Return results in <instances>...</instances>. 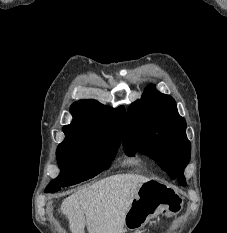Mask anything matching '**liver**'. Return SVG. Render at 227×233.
Returning a JSON list of instances; mask_svg holds the SVG:
<instances>
[{
	"instance_id": "1",
	"label": "liver",
	"mask_w": 227,
	"mask_h": 233,
	"mask_svg": "<svg viewBox=\"0 0 227 233\" xmlns=\"http://www.w3.org/2000/svg\"><path fill=\"white\" fill-rule=\"evenodd\" d=\"M150 181L138 174H115L79 190L61 204L72 233H123L125 216L140 186Z\"/></svg>"
}]
</instances>
